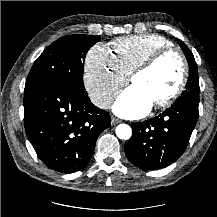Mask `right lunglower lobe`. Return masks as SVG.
I'll use <instances>...</instances> for the list:
<instances>
[{"instance_id":"obj_1","label":"right lung lower lobe","mask_w":217,"mask_h":217,"mask_svg":"<svg viewBox=\"0 0 217 217\" xmlns=\"http://www.w3.org/2000/svg\"><path fill=\"white\" fill-rule=\"evenodd\" d=\"M24 126L38 157L49 168L73 173L90 160L97 138L111 126L109 113L86 91L51 82L24 90Z\"/></svg>"}]
</instances>
